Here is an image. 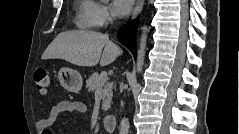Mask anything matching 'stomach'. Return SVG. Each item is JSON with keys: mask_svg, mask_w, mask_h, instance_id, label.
<instances>
[{"mask_svg": "<svg viewBox=\"0 0 239 134\" xmlns=\"http://www.w3.org/2000/svg\"><path fill=\"white\" fill-rule=\"evenodd\" d=\"M58 79L60 84L71 92H79L82 88V76L78 71L71 68H61Z\"/></svg>", "mask_w": 239, "mask_h": 134, "instance_id": "0dacf381", "label": "stomach"}]
</instances>
